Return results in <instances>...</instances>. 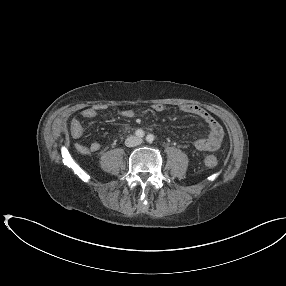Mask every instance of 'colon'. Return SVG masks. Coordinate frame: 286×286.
<instances>
[{
  "mask_svg": "<svg viewBox=\"0 0 286 286\" xmlns=\"http://www.w3.org/2000/svg\"><path fill=\"white\" fill-rule=\"evenodd\" d=\"M217 158L213 155H207L205 156L204 158V164L207 166V167H215L217 165Z\"/></svg>",
  "mask_w": 286,
  "mask_h": 286,
  "instance_id": "5ec220e1",
  "label": "colon"
}]
</instances>
